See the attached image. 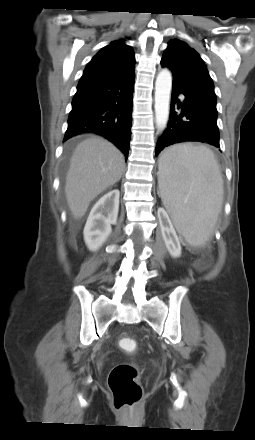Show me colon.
Returning a JSON list of instances; mask_svg holds the SVG:
<instances>
[{
	"label": "colon",
	"mask_w": 255,
	"mask_h": 440,
	"mask_svg": "<svg viewBox=\"0 0 255 440\" xmlns=\"http://www.w3.org/2000/svg\"><path fill=\"white\" fill-rule=\"evenodd\" d=\"M118 345L127 352H132L137 348L135 340L131 337H121ZM108 386L112 393L113 405L117 409L134 407L142 398L139 371L133 364L125 363L114 366L108 377Z\"/></svg>",
	"instance_id": "1"
}]
</instances>
